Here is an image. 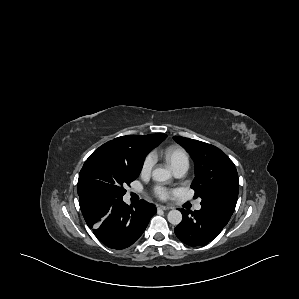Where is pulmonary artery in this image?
Returning <instances> with one entry per match:
<instances>
[{
  "label": "pulmonary artery",
  "instance_id": "obj_1",
  "mask_svg": "<svg viewBox=\"0 0 299 299\" xmlns=\"http://www.w3.org/2000/svg\"><path fill=\"white\" fill-rule=\"evenodd\" d=\"M187 169H188V167L183 165V166H179V167L175 168L173 171H174L175 176L182 177L186 173ZM193 209L196 211L200 210L201 209L200 202L195 203Z\"/></svg>",
  "mask_w": 299,
  "mask_h": 299
}]
</instances>
